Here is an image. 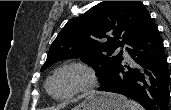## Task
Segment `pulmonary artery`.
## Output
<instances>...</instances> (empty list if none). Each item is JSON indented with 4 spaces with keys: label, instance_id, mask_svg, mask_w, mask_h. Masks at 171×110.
I'll list each match as a JSON object with an SVG mask.
<instances>
[{
    "label": "pulmonary artery",
    "instance_id": "obj_1",
    "mask_svg": "<svg viewBox=\"0 0 171 110\" xmlns=\"http://www.w3.org/2000/svg\"><path fill=\"white\" fill-rule=\"evenodd\" d=\"M118 51H122L123 52V56L125 59H129V54L126 52V50L124 48H119Z\"/></svg>",
    "mask_w": 171,
    "mask_h": 110
}]
</instances>
